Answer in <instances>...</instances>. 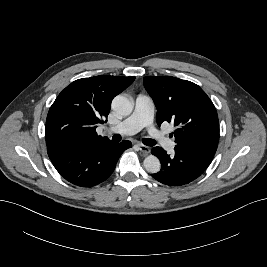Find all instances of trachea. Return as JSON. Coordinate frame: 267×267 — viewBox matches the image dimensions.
Masks as SVG:
<instances>
[{
	"mask_svg": "<svg viewBox=\"0 0 267 267\" xmlns=\"http://www.w3.org/2000/svg\"><path fill=\"white\" fill-rule=\"evenodd\" d=\"M112 140L114 142H120L121 141V136L119 134L113 135L112 136ZM142 141L147 146H153V145L156 144L155 140L150 139V138H144Z\"/></svg>",
	"mask_w": 267,
	"mask_h": 267,
	"instance_id": "trachea-1",
	"label": "trachea"
}]
</instances>
